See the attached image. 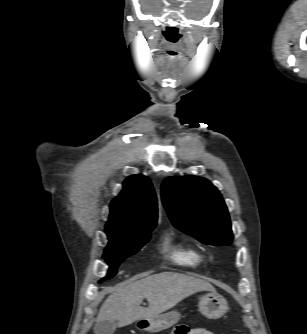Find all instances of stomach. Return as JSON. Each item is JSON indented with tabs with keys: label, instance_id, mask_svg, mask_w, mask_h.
Listing matches in <instances>:
<instances>
[{
	"label": "stomach",
	"instance_id": "0dacf381",
	"mask_svg": "<svg viewBox=\"0 0 307 334\" xmlns=\"http://www.w3.org/2000/svg\"><path fill=\"white\" fill-rule=\"evenodd\" d=\"M198 307L199 311L209 319H218L228 311L226 299L216 292L203 295L199 300ZM180 317V313L176 310L161 313L154 317L139 320L137 328L149 332H159L175 325Z\"/></svg>",
	"mask_w": 307,
	"mask_h": 334
}]
</instances>
